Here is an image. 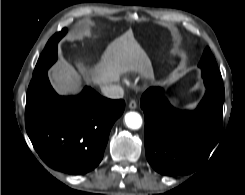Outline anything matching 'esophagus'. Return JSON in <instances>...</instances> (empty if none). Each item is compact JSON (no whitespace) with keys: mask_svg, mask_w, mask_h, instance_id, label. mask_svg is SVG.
Wrapping results in <instances>:
<instances>
[{"mask_svg":"<svg viewBox=\"0 0 245 195\" xmlns=\"http://www.w3.org/2000/svg\"><path fill=\"white\" fill-rule=\"evenodd\" d=\"M128 106H129L130 109H136L137 108V102L135 100H131L129 102Z\"/></svg>","mask_w":245,"mask_h":195,"instance_id":"34e87169","label":"esophagus"}]
</instances>
